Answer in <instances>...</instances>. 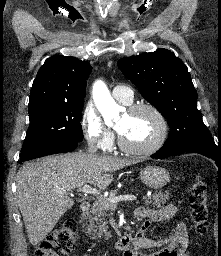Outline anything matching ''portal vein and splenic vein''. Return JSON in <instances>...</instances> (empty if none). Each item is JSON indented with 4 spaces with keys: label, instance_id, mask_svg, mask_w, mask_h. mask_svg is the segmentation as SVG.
Instances as JSON below:
<instances>
[{
    "label": "portal vein and splenic vein",
    "instance_id": "portal-vein-and-splenic-vein-1",
    "mask_svg": "<svg viewBox=\"0 0 221 256\" xmlns=\"http://www.w3.org/2000/svg\"><path fill=\"white\" fill-rule=\"evenodd\" d=\"M78 191L84 194H91L98 197H103L100 190L91 187L88 184H85L83 187L79 188ZM107 200L110 202L112 206H116L120 201H136L137 197L135 195H120L117 197H109Z\"/></svg>",
    "mask_w": 221,
    "mask_h": 256
}]
</instances>
